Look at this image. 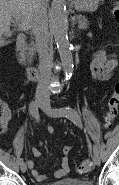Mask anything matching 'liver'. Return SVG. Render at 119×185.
I'll list each match as a JSON object with an SVG mask.
<instances>
[{"instance_id":"obj_1","label":"liver","mask_w":119,"mask_h":185,"mask_svg":"<svg viewBox=\"0 0 119 185\" xmlns=\"http://www.w3.org/2000/svg\"><path fill=\"white\" fill-rule=\"evenodd\" d=\"M45 0H0V47L5 45L3 35L10 32L11 17L20 15V30L32 28L36 9Z\"/></svg>"}]
</instances>
